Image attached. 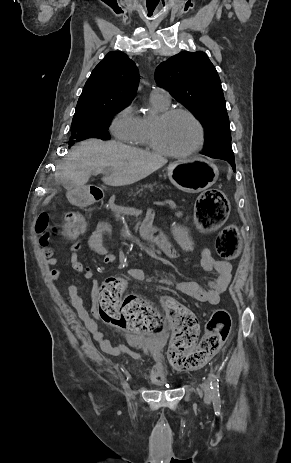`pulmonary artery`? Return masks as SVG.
<instances>
[{"mask_svg": "<svg viewBox=\"0 0 291 463\" xmlns=\"http://www.w3.org/2000/svg\"><path fill=\"white\" fill-rule=\"evenodd\" d=\"M151 99H154L156 101H159L163 104H169L170 103V94L167 90L164 88L156 87L152 90Z\"/></svg>", "mask_w": 291, "mask_h": 463, "instance_id": "pulmonary-artery-1", "label": "pulmonary artery"}]
</instances>
